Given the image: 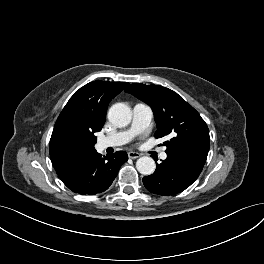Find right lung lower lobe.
Instances as JSON below:
<instances>
[{
	"label": "right lung lower lobe",
	"instance_id": "right-lung-lower-lobe-1",
	"mask_svg": "<svg viewBox=\"0 0 264 264\" xmlns=\"http://www.w3.org/2000/svg\"><path fill=\"white\" fill-rule=\"evenodd\" d=\"M127 160L128 156L124 151L102 156L94 150L56 166L55 170L73 192L95 195L109 188L121 165Z\"/></svg>",
	"mask_w": 264,
	"mask_h": 264
}]
</instances>
